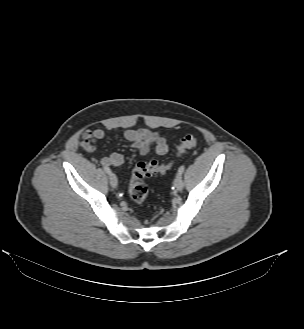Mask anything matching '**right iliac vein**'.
I'll use <instances>...</instances> for the list:
<instances>
[{"label":"right iliac vein","mask_w":304,"mask_h":329,"mask_svg":"<svg viewBox=\"0 0 304 329\" xmlns=\"http://www.w3.org/2000/svg\"><path fill=\"white\" fill-rule=\"evenodd\" d=\"M109 180H110L111 186L113 188H116L117 187V184H118V181H117L116 176L113 173L109 174Z\"/></svg>","instance_id":"right-iliac-vein-1"}]
</instances>
